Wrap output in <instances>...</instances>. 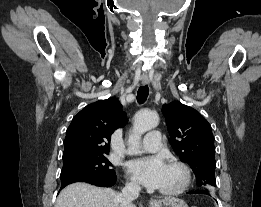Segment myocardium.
Returning a JSON list of instances; mask_svg holds the SVG:
<instances>
[{
  "mask_svg": "<svg viewBox=\"0 0 261 207\" xmlns=\"http://www.w3.org/2000/svg\"><path fill=\"white\" fill-rule=\"evenodd\" d=\"M167 165L169 166H173L176 167L178 169H180L181 173H182V179L180 184L172 189H159V193H161L162 195H166V196H174V195H179L181 193H183L188 186L190 185V181H191V173L190 170L188 168V166L179 161V160H170L168 161Z\"/></svg>",
  "mask_w": 261,
  "mask_h": 207,
  "instance_id": "myocardium-1",
  "label": "myocardium"
}]
</instances>
